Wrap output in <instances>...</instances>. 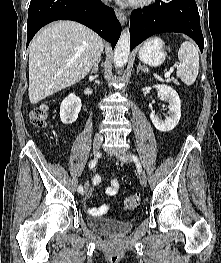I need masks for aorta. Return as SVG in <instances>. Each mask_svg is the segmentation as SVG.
<instances>
[{
  "label": "aorta",
  "mask_w": 221,
  "mask_h": 263,
  "mask_svg": "<svg viewBox=\"0 0 221 263\" xmlns=\"http://www.w3.org/2000/svg\"><path fill=\"white\" fill-rule=\"evenodd\" d=\"M130 54V35L129 30L125 29L115 48L114 51V64L116 68H122L128 61Z\"/></svg>",
  "instance_id": "1"
}]
</instances>
